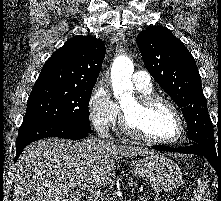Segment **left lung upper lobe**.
<instances>
[{"label":"left lung upper lobe","instance_id":"1","mask_svg":"<svg viewBox=\"0 0 221 201\" xmlns=\"http://www.w3.org/2000/svg\"><path fill=\"white\" fill-rule=\"evenodd\" d=\"M137 45L149 73L181 108L191 142L215 149L201 78L194 57L185 45L162 26L139 33Z\"/></svg>","mask_w":221,"mask_h":201}]
</instances>
